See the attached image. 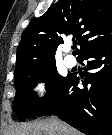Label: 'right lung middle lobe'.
Instances as JSON below:
<instances>
[{
  "label": "right lung middle lobe",
  "instance_id": "obj_1",
  "mask_svg": "<svg viewBox=\"0 0 112 135\" xmlns=\"http://www.w3.org/2000/svg\"><path fill=\"white\" fill-rule=\"evenodd\" d=\"M69 77L70 74L67 77L58 74L56 62L47 64L35 73L14 76L16 95L13 105L18 119L24 122L26 118L37 116L59 94ZM38 82H46L47 87V92L41 99L32 90Z\"/></svg>",
  "mask_w": 112,
  "mask_h": 135
}]
</instances>
